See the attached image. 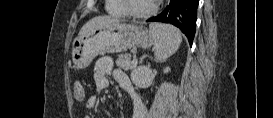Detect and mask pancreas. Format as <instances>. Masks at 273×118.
Returning <instances> with one entry per match:
<instances>
[{"instance_id":"cf45deb5","label":"pancreas","mask_w":273,"mask_h":118,"mask_svg":"<svg viewBox=\"0 0 273 118\" xmlns=\"http://www.w3.org/2000/svg\"><path fill=\"white\" fill-rule=\"evenodd\" d=\"M116 65L126 71L134 67L129 54H119L116 60Z\"/></svg>"}]
</instances>
